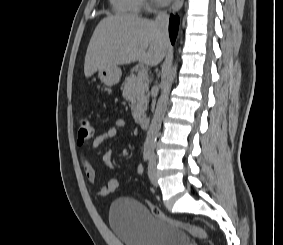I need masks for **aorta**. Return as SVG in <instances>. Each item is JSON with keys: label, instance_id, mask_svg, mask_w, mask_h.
<instances>
[{"label": "aorta", "instance_id": "aorta-1", "mask_svg": "<svg viewBox=\"0 0 283 245\" xmlns=\"http://www.w3.org/2000/svg\"><path fill=\"white\" fill-rule=\"evenodd\" d=\"M176 70H177V65L175 64L171 69L169 76L163 82L161 95L158 99L153 118L151 120L150 126L147 131V136L144 143L145 150L152 151L154 150V147L156 145L159 130L161 128V124L167 110L170 89L176 74Z\"/></svg>", "mask_w": 283, "mask_h": 245}]
</instances>
